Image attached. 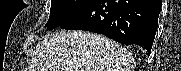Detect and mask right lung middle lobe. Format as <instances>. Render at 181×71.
Returning a JSON list of instances; mask_svg holds the SVG:
<instances>
[{
	"label": "right lung middle lobe",
	"mask_w": 181,
	"mask_h": 71,
	"mask_svg": "<svg viewBox=\"0 0 181 71\" xmlns=\"http://www.w3.org/2000/svg\"><path fill=\"white\" fill-rule=\"evenodd\" d=\"M92 2L93 0H51L50 17L46 23L47 29L51 30L60 26Z\"/></svg>",
	"instance_id": "right-lung-middle-lobe-1"
}]
</instances>
